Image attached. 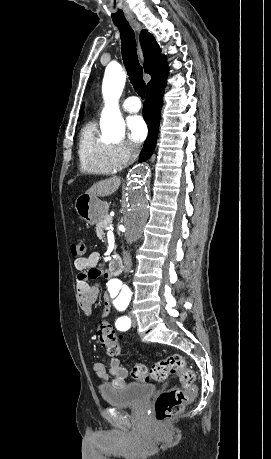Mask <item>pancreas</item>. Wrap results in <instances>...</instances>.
<instances>
[{"label": "pancreas", "instance_id": "pancreas-1", "mask_svg": "<svg viewBox=\"0 0 271 459\" xmlns=\"http://www.w3.org/2000/svg\"><path fill=\"white\" fill-rule=\"evenodd\" d=\"M112 220H109V222H103V224H98L97 232H96V237L98 239H103L105 237V232L101 230L102 228H108V226H111Z\"/></svg>", "mask_w": 271, "mask_h": 459}]
</instances>
